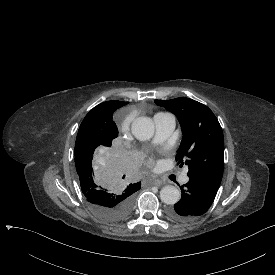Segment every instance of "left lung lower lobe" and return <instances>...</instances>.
Masks as SVG:
<instances>
[{
	"label": "left lung lower lobe",
	"mask_w": 275,
	"mask_h": 275,
	"mask_svg": "<svg viewBox=\"0 0 275 275\" xmlns=\"http://www.w3.org/2000/svg\"><path fill=\"white\" fill-rule=\"evenodd\" d=\"M220 185L200 178H190L180 186L181 199L174 207L167 210V215L174 221H189L207 212L212 205Z\"/></svg>",
	"instance_id": "obj_1"
}]
</instances>
